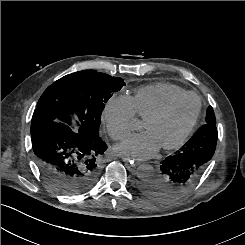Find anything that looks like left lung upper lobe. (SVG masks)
Masks as SVG:
<instances>
[{"label": "left lung upper lobe", "instance_id": "5c2ea615", "mask_svg": "<svg viewBox=\"0 0 245 245\" xmlns=\"http://www.w3.org/2000/svg\"><path fill=\"white\" fill-rule=\"evenodd\" d=\"M205 120H206L205 124L216 125L214 111H213V108L211 106H209L208 109H207L206 119Z\"/></svg>", "mask_w": 245, "mask_h": 245}]
</instances>
